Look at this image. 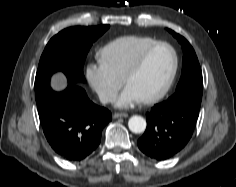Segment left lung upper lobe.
<instances>
[{
    "mask_svg": "<svg viewBox=\"0 0 236 187\" xmlns=\"http://www.w3.org/2000/svg\"><path fill=\"white\" fill-rule=\"evenodd\" d=\"M169 32L177 38L183 48L182 75L175 94L163 103L170 107L186 104L200 110L203 78L197 56L190 43L184 37L172 30H169Z\"/></svg>",
    "mask_w": 236,
    "mask_h": 187,
    "instance_id": "left-lung-upper-lobe-1",
    "label": "left lung upper lobe"
}]
</instances>
